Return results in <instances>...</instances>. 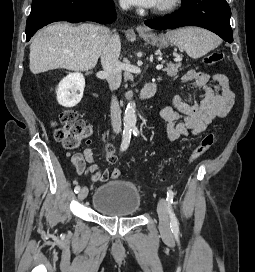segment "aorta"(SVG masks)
<instances>
[{
    "label": "aorta",
    "instance_id": "1",
    "mask_svg": "<svg viewBox=\"0 0 255 272\" xmlns=\"http://www.w3.org/2000/svg\"><path fill=\"white\" fill-rule=\"evenodd\" d=\"M124 127L125 129H133L136 127V110H135V104L133 102H129L126 106L125 112H124Z\"/></svg>",
    "mask_w": 255,
    "mask_h": 272
}]
</instances>
